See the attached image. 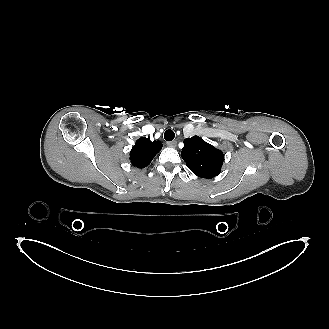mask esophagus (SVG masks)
Masks as SVG:
<instances>
[{
    "mask_svg": "<svg viewBox=\"0 0 329 329\" xmlns=\"http://www.w3.org/2000/svg\"><path fill=\"white\" fill-rule=\"evenodd\" d=\"M167 145L171 148H175L177 146V141H170L167 142Z\"/></svg>",
    "mask_w": 329,
    "mask_h": 329,
    "instance_id": "1",
    "label": "esophagus"
}]
</instances>
